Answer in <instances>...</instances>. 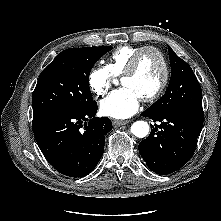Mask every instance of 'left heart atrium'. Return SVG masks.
I'll return each instance as SVG.
<instances>
[{
    "instance_id": "left-heart-atrium-1",
    "label": "left heart atrium",
    "mask_w": 221,
    "mask_h": 221,
    "mask_svg": "<svg viewBox=\"0 0 221 221\" xmlns=\"http://www.w3.org/2000/svg\"><path fill=\"white\" fill-rule=\"evenodd\" d=\"M140 100L141 98L133 89L123 86L111 92L100 102V111L105 116L125 119L137 112Z\"/></svg>"
}]
</instances>
